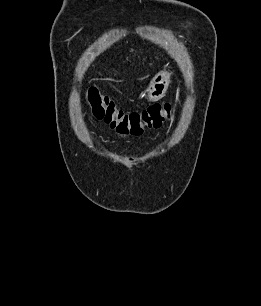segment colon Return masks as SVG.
Listing matches in <instances>:
<instances>
[{
	"label": "colon",
	"mask_w": 261,
	"mask_h": 306,
	"mask_svg": "<svg viewBox=\"0 0 261 306\" xmlns=\"http://www.w3.org/2000/svg\"><path fill=\"white\" fill-rule=\"evenodd\" d=\"M87 102L92 117L108 124L118 135H141L147 129L159 128L171 117V103L153 104L142 111L125 112L118 109L95 88L87 92Z\"/></svg>",
	"instance_id": "colon-1"
}]
</instances>
